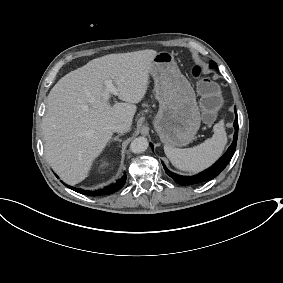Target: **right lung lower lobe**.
<instances>
[{"label": "right lung lower lobe", "instance_id": "98d812e1", "mask_svg": "<svg viewBox=\"0 0 283 283\" xmlns=\"http://www.w3.org/2000/svg\"><path fill=\"white\" fill-rule=\"evenodd\" d=\"M126 177L127 176L124 175L116 183L111 184L109 186H106L104 189H100V190H97V191H87V190H82V189H79V188H74V187H71V186H68V185H66V186L68 188H70V189H72V190H74L78 193L84 194V195H89V196L107 195V194H112V193L118 191L119 189H121L125 184Z\"/></svg>", "mask_w": 283, "mask_h": 283}]
</instances>
